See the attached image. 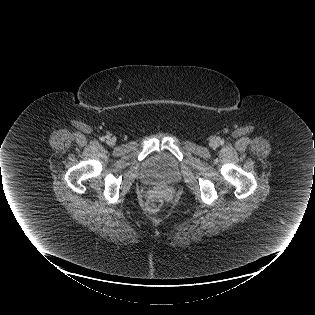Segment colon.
Listing matches in <instances>:
<instances>
[{
    "instance_id": "obj_1",
    "label": "colon",
    "mask_w": 315,
    "mask_h": 315,
    "mask_svg": "<svg viewBox=\"0 0 315 315\" xmlns=\"http://www.w3.org/2000/svg\"><path fill=\"white\" fill-rule=\"evenodd\" d=\"M163 205V199L160 194L153 193L151 194L146 202V209L149 212H155L161 208Z\"/></svg>"
}]
</instances>
